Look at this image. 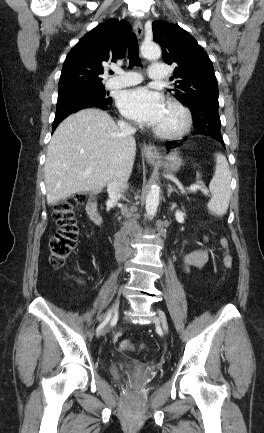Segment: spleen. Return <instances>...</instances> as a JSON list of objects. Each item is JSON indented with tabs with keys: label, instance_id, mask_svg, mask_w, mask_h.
Here are the masks:
<instances>
[{
	"label": "spleen",
	"instance_id": "spleen-1",
	"mask_svg": "<svg viewBox=\"0 0 264 433\" xmlns=\"http://www.w3.org/2000/svg\"><path fill=\"white\" fill-rule=\"evenodd\" d=\"M214 176L209 184L212 198L208 209L219 216L226 214L231 196V172L226 157L217 153Z\"/></svg>",
	"mask_w": 264,
	"mask_h": 433
}]
</instances>
